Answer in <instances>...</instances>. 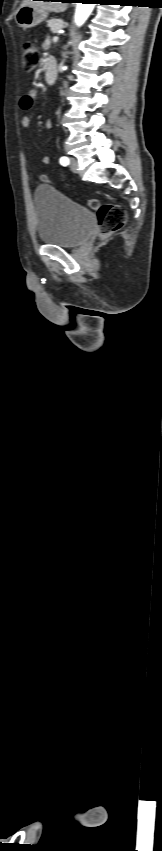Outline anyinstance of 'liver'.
Masks as SVG:
<instances>
[{"mask_svg": "<svg viewBox=\"0 0 162 851\" xmlns=\"http://www.w3.org/2000/svg\"><path fill=\"white\" fill-rule=\"evenodd\" d=\"M27 5L56 13L64 12L67 9V3L65 2L24 0L21 6Z\"/></svg>", "mask_w": 162, "mask_h": 851, "instance_id": "6515ba94", "label": "liver"}]
</instances>
